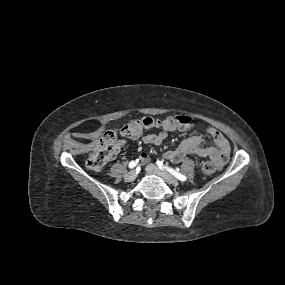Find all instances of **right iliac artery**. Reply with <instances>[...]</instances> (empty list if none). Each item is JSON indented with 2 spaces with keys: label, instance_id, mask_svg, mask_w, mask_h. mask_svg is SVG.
Instances as JSON below:
<instances>
[{
  "label": "right iliac artery",
  "instance_id": "right-iliac-artery-1",
  "mask_svg": "<svg viewBox=\"0 0 285 285\" xmlns=\"http://www.w3.org/2000/svg\"><path fill=\"white\" fill-rule=\"evenodd\" d=\"M138 162H139L138 159H136L135 161H131V162L129 163V168H134Z\"/></svg>",
  "mask_w": 285,
  "mask_h": 285
}]
</instances>
